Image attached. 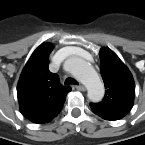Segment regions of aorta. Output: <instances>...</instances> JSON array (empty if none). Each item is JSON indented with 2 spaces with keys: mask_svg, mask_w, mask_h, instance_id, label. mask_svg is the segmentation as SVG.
Returning <instances> with one entry per match:
<instances>
[{
  "mask_svg": "<svg viewBox=\"0 0 145 145\" xmlns=\"http://www.w3.org/2000/svg\"><path fill=\"white\" fill-rule=\"evenodd\" d=\"M69 70L76 76L87 88V96L92 102L102 100L105 88L95 69L83 59L74 57L69 60Z\"/></svg>",
  "mask_w": 145,
  "mask_h": 145,
  "instance_id": "obj_1",
  "label": "aorta"
}]
</instances>
